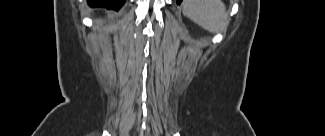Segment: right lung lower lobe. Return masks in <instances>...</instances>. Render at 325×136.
<instances>
[{"label":"right lung lower lobe","instance_id":"obj_1","mask_svg":"<svg viewBox=\"0 0 325 136\" xmlns=\"http://www.w3.org/2000/svg\"><path fill=\"white\" fill-rule=\"evenodd\" d=\"M91 6H104L107 9L118 10L125 2V0H89Z\"/></svg>","mask_w":325,"mask_h":136}]
</instances>
